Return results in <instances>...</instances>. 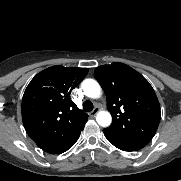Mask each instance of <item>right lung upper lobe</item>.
Segmentation results:
<instances>
[{"label": "right lung upper lobe", "instance_id": "cb5924a9", "mask_svg": "<svg viewBox=\"0 0 181 181\" xmlns=\"http://www.w3.org/2000/svg\"><path fill=\"white\" fill-rule=\"evenodd\" d=\"M88 68L56 65L38 73L22 99V120L27 134L43 151L66 148L83 130L88 115L70 99V93Z\"/></svg>", "mask_w": 181, "mask_h": 181}]
</instances>
